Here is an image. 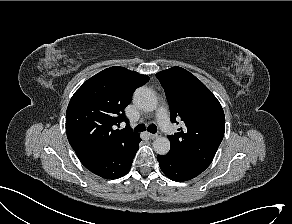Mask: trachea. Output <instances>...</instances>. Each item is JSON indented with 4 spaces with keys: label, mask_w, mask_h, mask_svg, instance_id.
<instances>
[{
    "label": "trachea",
    "mask_w": 292,
    "mask_h": 224,
    "mask_svg": "<svg viewBox=\"0 0 292 224\" xmlns=\"http://www.w3.org/2000/svg\"><path fill=\"white\" fill-rule=\"evenodd\" d=\"M134 131H137V132H142V131H146V127L144 124H138ZM147 131L148 132H151V133H156L157 132V127L154 125V124H151L147 127Z\"/></svg>",
    "instance_id": "3493384b"
}]
</instances>
